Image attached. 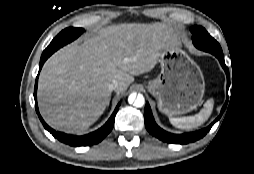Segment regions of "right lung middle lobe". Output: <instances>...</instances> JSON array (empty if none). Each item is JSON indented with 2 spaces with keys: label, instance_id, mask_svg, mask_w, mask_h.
Returning a JSON list of instances; mask_svg holds the SVG:
<instances>
[{
  "label": "right lung middle lobe",
  "instance_id": "dd1d6c3e",
  "mask_svg": "<svg viewBox=\"0 0 254 174\" xmlns=\"http://www.w3.org/2000/svg\"><path fill=\"white\" fill-rule=\"evenodd\" d=\"M84 32L82 28H73L69 27L60 32L50 43V45L44 50L43 54H53L60 47L64 46L66 43H69L75 40ZM67 41L63 44V42Z\"/></svg>",
  "mask_w": 254,
  "mask_h": 174
}]
</instances>
